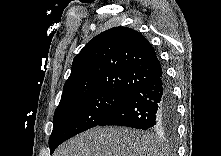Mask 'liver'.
Masks as SVG:
<instances>
[{"label":"liver","instance_id":"obj_1","mask_svg":"<svg viewBox=\"0 0 221 156\" xmlns=\"http://www.w3.org/2000/svg\"><path fill=\"white\" fill-rule=\"evenodd\" d=\"M161 139L127 127H95L62 144L53 156H163Z\"/></svg>","mask_w":221,"mask_h":156}]
</instances>
